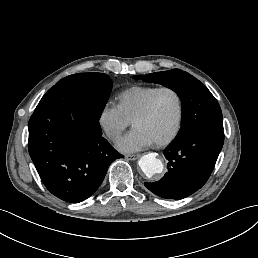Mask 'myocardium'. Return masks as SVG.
<instances>
[{"instance_id":"f54148a6","label":"myocardium","mask_w":258,"mask_h":258,"mask_svg":"<svg viewBox=\"0 0 258 258\" xmlns=\"http://www.w3.org/2000/svg\"><path fill=\"white\" fill-rule=\"evenodd\" d=\"M163 92H172L176 96L177 113H176L174 126H173V129L170 132V134L165 137H159V136L154 135L151 131L147 130L144 127V124L151 118L154 102H155L156 98ZM181 118H182V98H181L180 94L172 88L163 87V88L157 89L156 92L151 96L143 113L137 119L135 126L139 130V132H141L143 135H145L152 141H154L156 143H160V144H165V143L170 142L176 136V134L180 128Z\"/></svg>"}]
</instances>
